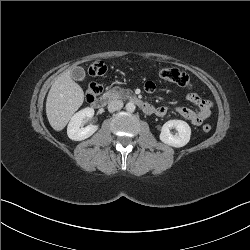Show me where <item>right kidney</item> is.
I'll use <instances>...</instances> for the list:
<instances>
[{"label": "right kidney", "mask_w": 250, "mask_h": 250, "mask_svg": "<svg viewBox=\"0 0 250 250\" xmlns=\"http://www.w3.org/2000/svg\"><path fill=\"white\" fill-rule=\"evenodd\" d=\"M94 115L93 108H85L74 114L67 127V135L74 141H82L89 138L98 130V125H88L82 127L85 118H91Z\"/></svg>", "instance_id": "right-kidney-1"}]
</instances>
